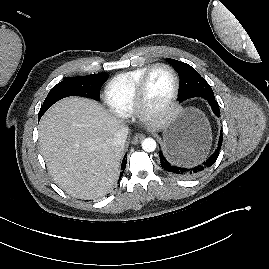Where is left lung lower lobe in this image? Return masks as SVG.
I'll use <instances>...</instances> for the list:
<instances>
[{"mask_svg":"<svg viewBox=\"0 0 269 269\" xmlns=\"http://www.w3.org/2000/svg\"><path fill=\"white\" fill-rule=\"evenodd\" d=\"M200 97L207 100V102L210 104L216 116L220 115L219 105L217 101L215 100L214 95H204ZM222 140H223V135L221 131L219 142H218V148L215 150V152L206 160L196 163L194 165H187V166L183 165L181 162L177 161L174 157L160 151L159 157L161 161V167L167 172L178 177H182V178L196 177L215 163L219 155V149L222 145Z\"/></svg>","mask_w":269,"mask_h":269,"instance_id":"0a47b994","label":"left lung lower lobe"}]
</instances>
